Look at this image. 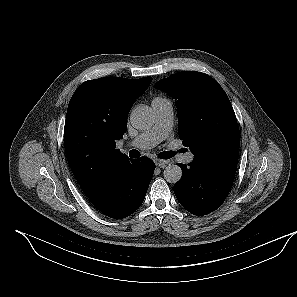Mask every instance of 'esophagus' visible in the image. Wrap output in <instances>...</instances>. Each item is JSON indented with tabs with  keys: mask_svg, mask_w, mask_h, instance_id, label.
<instances>
[{
	"mask_svg": "<svg viewBox=\"0 0 297 297\" xmlns=\"http://www.w3.org/2000/svg\"><path fill=\"white\" fill-rule=\"evenodd\" d=\"M154 162H155V165L160 168H164L167 164L170 163L169 160H162V159H155Z\"/></svg>",
	"mask_w": 297,
	"mask_h": 297,
	"instance_id": "obj_1",
	"label": "esophagus"
}]
</instances>
